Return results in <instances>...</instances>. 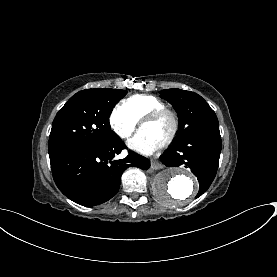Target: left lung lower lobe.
<instances>
[{
	"label": "left lung lower lobe",
	"instance_id": "left-lung-lower-lobe-1",
	"mask_svg": "<svg viewBox=\"0 0 277 277\" xmlns=\"http://www.w3.org/2000/svg\"><path fill=\"white\" fill-rule=\"evenodd\" d=\"M220 132H208L173 143L160 159L168 167H189L199 181V192L203 194L211 185L219 164L221 152Z\"/></svg>",
	"mask_w": 277,
	"mask_h": 277
}]
</instances>
